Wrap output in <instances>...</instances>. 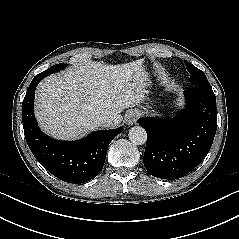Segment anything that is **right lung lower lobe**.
<instances>
[{
  "label": "right lung lower lobe",
  "mask_w": 239,
  "mask_h": 239,
  "mask_svg": "<svg viewBox=\"0 0 239 239\" xmlns=\"http://www.w3.org/2000/svg\"><path fill=\"white\" fill-rule=\"evenodd\" d=\"M48 74L36 75L22 103L23 128L27 144L39 163L58 179L68 183H84L102 170L110 142L123 128L95 131L86 138L58 141L43 134L36 122L33 104L38 83Z\"/></svg>",
  "instance_id": "1"
}]
</instances>
